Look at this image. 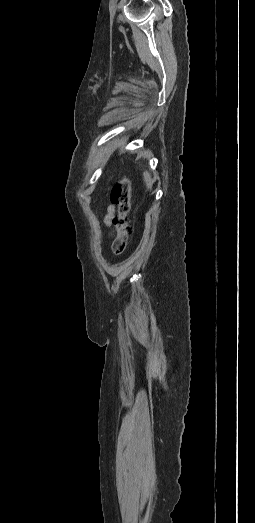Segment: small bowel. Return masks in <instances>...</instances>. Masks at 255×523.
<instances>
[{
    "mask_svg": "<svg viewBox=\"0 0 255 523\" xmlns=\"http://www.w3.org/2000/svg\"><path fill=\"white\" fill-rule=\"evenodd\" d=\"M114 216V207L113 206H109L108 209H107V214L105 215L104 217V223L107 225V226H111V220Z\"/></svg>",
    "mask_w": 255,
    "mask_h": 523,
    "instance_id": "1",
    "label": "small bowel"
}]
</instances>
